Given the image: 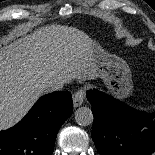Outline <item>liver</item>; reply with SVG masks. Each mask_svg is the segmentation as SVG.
<instances>
[{
	"mask_svg": "<svg viewBox=\"0 0 155 155\" xmlns=\"http://www.w3.org/2000/svg\"><path fill=\"white\" fill-rule=\"evenodd\" d=\"M95 78L90 38L77 28L53 24L0 46V130L16 124L49 82Z\"/></svg>",
	"mask_w": 155,
	"mask_h": 155,
	"instance_id": "1",
	"label": "liver"
}]
</instances>
